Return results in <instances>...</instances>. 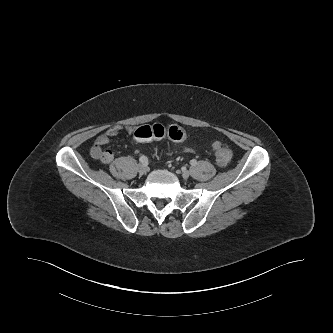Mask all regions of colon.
<instances>
[{
  "label": "colon",
  "instance_id": "5ec220e1",
  "mask_svg": "<svg viewBox=\"0 0 333 333\" xmlns=\"http://www.w3.org/2000/svg\"><path fill=\"white\" fill-rule=\"evenodd\" d=\"M134 137L139 141L162 139L164 137H168L174 141H182L185 139V132L176 125L165 127L161 124H153L137 128L134 132ZM213 150L216 161L219 164H227L231 160V150L225 145L216 142L213 145Z\"/></svg>",
  "mask_w": 333,
  "mask_h": 333
}]
</instances>
